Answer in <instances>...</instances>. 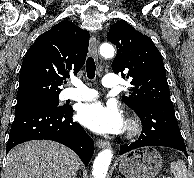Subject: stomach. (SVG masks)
Masks as SVG:
<instances>
[{"instance_id":"1","label":"stomach","mask_w":194,"mask_h":178,"mask_svg":"<svg viewBox=\"0 0 194 178\" xmlns=\"http://www.w3.org/2000/svg\"><path fill=\"white\" fill-rule=\"evenodd\" d=\"M162 169V157L153 147H142L119 158V170L126 178H155Z\"/></svg>"}]
</instances>
